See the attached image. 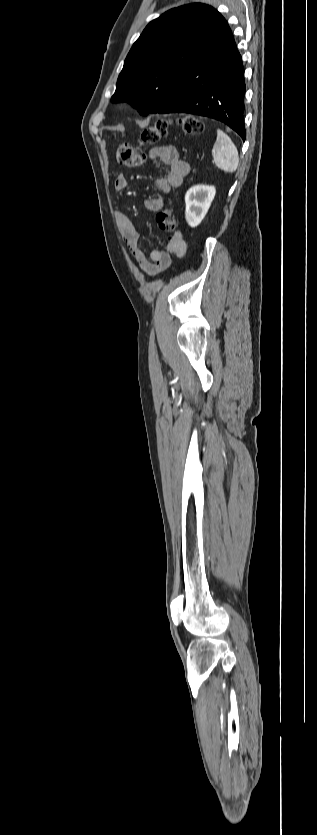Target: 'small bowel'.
<instances>
[{"instance_id": "c3829d8e", "label": "small bowel", "mask_w": 317, "mask_h": 835, "mask_svg": "<svg viewBox=\"0 0 317 835\" xmlns=\"http://www.w3.org/2000/svg\"><path fill=\"white\" fill-rule=\"evenodd\" d=\"M150 158L157 163L166 166V173L155 179V189L159 193H169L172 187H179L190 171L187 162L179 158L177 149L172 145H163L150 150ZM115 189L123 192L128 188V179L124 174H119L115 180ZM164 205L160 197L149 198L145 201V207L151 212H158ZM115 220L119 232L129 246L136 258L141 270L148 276H155L168 268L172 262V256L183 257L186 251V244L180 234L172 240L165 251L154 249L149 255L140 246V233L133 221L122 211H116Z\"/></svg>"}]
</instances>
